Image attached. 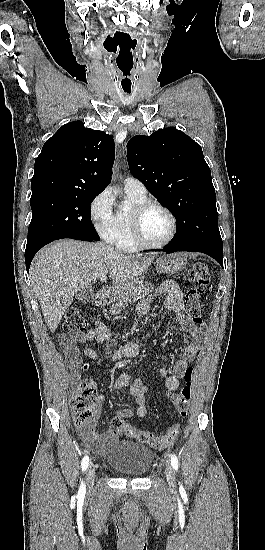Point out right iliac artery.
<instances>
[{
    "label": "right iliac artery",
    "instance_id": "right-iliac-artery-1",
    "mask_svg": "<svg viewBox=\"0 0 265 550\" xmlns=\"http://www.w3.org/2000/svg\"><path fill=\"white\" fill-rule=\"evenodd\" d=\"M88 464H89V457H88V456H85V457L82 459V462H81L82 471H85V470L87 469ZM78 494H80V495H84V494H85V485H84L83 482H82V484H81V486H80V489H79Z\"/></svg>",
    "mask_w": 265,
    "mask_h": 550
}]
</instances>
